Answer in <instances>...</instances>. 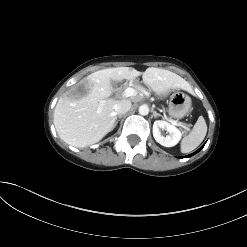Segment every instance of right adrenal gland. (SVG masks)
<instances>
[{"mask_svg": "<svg viewBox=\"0 0 247 247\" xmlns=\"http://www.w3.org/2000/svg\"><path fill=\"white\" fill-rule=\"evenodd\" d=\"M122 117H123V115H116V116H115L116 122H115L114 126L117 125L118 121H119Z\"/></svg>", "mask_w": 247, "mask_h": 247, "instance_id": "obj_1", "label": "right adrenal gland"}]
</instances>
